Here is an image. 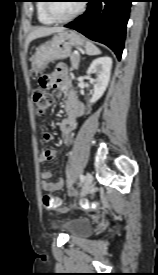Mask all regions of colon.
Masks as SVG:
<instances>
[{
    "instance_id": "colon-1",
    "label": "colon",
    "mask_w": 158,
    "mask_h": 275,
    "mask_svg": "<svg viewBox=\"0 0 158 275\" xmlns=\"http://www.w3.org/2000/svg\"><path fill=\"white\" fill-rule=\"evenodd\" d=\"M40 88L33 93V101L35 105V112L38 116L46 114L53 103V96L47 91L49 81L46 78H40ZM43 205L47 210H61L60 200L52 195L45 194L43 196ZM88 207V204H85Z\"/></svg>"
}]
</instances>
